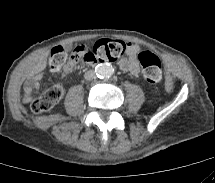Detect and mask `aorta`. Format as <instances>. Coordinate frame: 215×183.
Returning a JSON list of instances; mask_svg holds the SVG:
<instances>
[{
	"instance_id": "obj_1",
	"label": "aorta",
	"mask_w": 215,
	"mask_h": 183,
	"mask_svg": "<svg viewBox=\"0 0 215 183\" xmlns=\"http://www.w3.org/2000/svg\"><path fill=\"white\" fill-rule=\"evenodd\" d=\"M95 72H96L97 76H99L101 78H108L113 75L114 68L109 63H102V64H98L96 66Z\"/></svg>"
}]
</instances>
